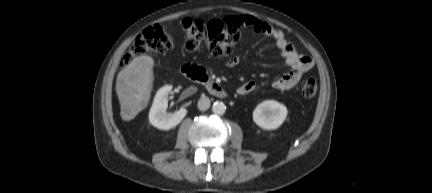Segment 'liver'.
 <instances>
[{"instance_id":"obj_1","label":"liver","mask_w":432,"mask_h":193,"mask_svg":"<svg viewBox=\"0 0 432 193\" xmlns=\"http://www.w3.org/2000/svg\"><path fill=\"white\" fill-rule=\"evenodd\" d=\"M154 61L150 56L136 57L117 76L116 93L120 102V115L132 120L148 104L153 88Z\"/></svg>"}]
</instances>
